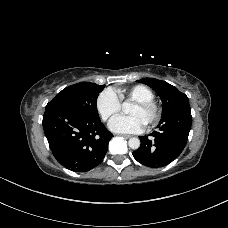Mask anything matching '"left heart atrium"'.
Here are the masks:
<instances>
[{"label": "left heart atrium", "instance_id": "1", "mask_svg": "<svg viewBox=\"0 0 228 228\" xmlns=\"http://www.w3.org/2000/svg\"><path fill=\"white\" fill-rule=\"evenodd\" d=\"M144 128L145 123L137 115H118L109 121V129L115 133H139Z\"/></svg>", "mask_w": 228, "mask_h": 228}]
</instances>
